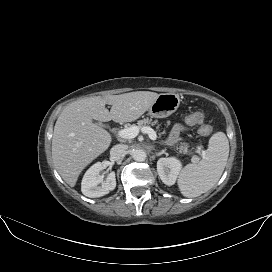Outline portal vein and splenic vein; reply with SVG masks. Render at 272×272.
<instances>
[{"instance_id":"1","label":"portal vein and splenic vein","mask_w":272,"mask_h":272,"mask_svg":"<svg viewBox=\"0 0 272 272\" xmlns=\"http://www.w3.org/2000/svg\"><path fill=\"white\" fill-rule=\"evenodd\" d=\"M141 132L148 134V136L151 140H156V138H157L156 132L150 127H142ZM138 134H139V127H137V126H131V127L122 129V130L118 131V133H117L118 137L123 138V139H133Z\"/></svg>"}]
</instances>
